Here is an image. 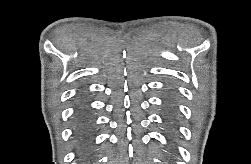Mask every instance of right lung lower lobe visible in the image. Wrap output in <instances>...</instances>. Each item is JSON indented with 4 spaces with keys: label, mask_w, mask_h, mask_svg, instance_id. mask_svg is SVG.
Wrapping results in <instances>:
<instances>
[{
    "label": "right lung lower lobe",
    "mask_w": 251,
    "mask_h": 164,
    "mask_svg": "<svg viewBox=\"0 0 251 164\" xmlns=\"http://www.w3.org/2000/svg\"><path fill=\"white\" fill-rule=\"evenodd\" d=\"M89 130V124L85 120H81L78 128V132L82 137H85Z\"/></svg>",
    "instance_id": "obj_1"
}]
</instances>
